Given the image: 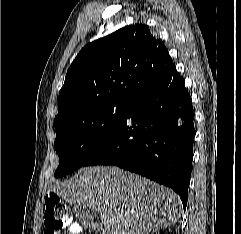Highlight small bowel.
Segmentation results:
<instances>
[{
  "label": "small bowel",
  "instance_id": "small-bowel-1",
  "mask_svg": "<svg viewBox=\"0 0 241 234\" xmlns=\"http://www.w3.org/2000/svg\"><path fill=\"white\" fill-rule=\"evenodd\" d=\"M44 234H59L56 231H46Z\"/></svg>",
  "mask_w": 241,
  "mask_h": 234
}]
</instances>
